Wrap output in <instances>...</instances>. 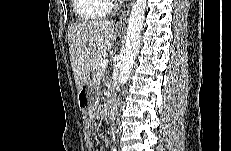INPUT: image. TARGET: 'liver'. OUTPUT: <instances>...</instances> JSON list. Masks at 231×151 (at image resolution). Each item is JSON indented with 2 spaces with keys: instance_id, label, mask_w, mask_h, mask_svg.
Segmentation results:
<instances>
[{
  "instance_id": "1",
  "label": "liver",
  "mask_w": 231,
  "mask_h": 151,
  "mask_svg": "<svg viewBox=\"0 0 231 151\" xmlns=\"http://www.w3.org/2000/svg\"><path fill=\"white\" fill-rule=\"evenodd\" d=\"M114 23L109 20H85L68 28L70 61L79 90L89 78L96 62L113 46Z\"/></svg>"
}]
</instances>
